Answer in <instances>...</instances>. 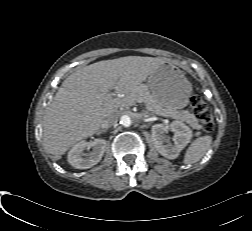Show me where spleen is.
Masks as SVG:
<instances>
[{"mask_svg":"<svg viewBox=\"0 0 252 231\" xmlns=\"http://www.w3.org/2000/svg\"><path fill=\"white\" fill-rule=\"evenodd\" d=\"M212 144L211 136H202L194 140L184 155V164H193L198 162L207 152Z\"/></svg>","mask_w":252,"mask_h":231,"instance_id":"spleen-1","label":"spleen"}]
</instances>
